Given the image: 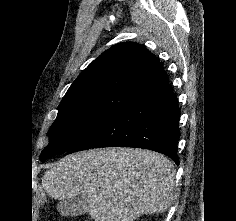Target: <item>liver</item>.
<instances>
[{
  "label": "liver",
  "mask_w": 236,
  "mask_h": 221,
  "mask_svg": "<svg viewBox=\"0 0 236 221\" xmlns=\"http://www.w3.org/2000/svg\"><path fill=\"white\" fill-rule=\"evenodd\" d=\"M175 173L170 159L151 150L92 149L53 164L42 185L53 199L80 196L91 220L133 221L171 206Z\"/></svg>",
  "instance_id": "obj_1"
}]
</instances>
